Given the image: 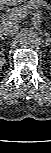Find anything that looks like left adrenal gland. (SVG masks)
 <instances>
[{
    "label": "left adrenal gland",
    "instance_id": "1",
    "mask_svg": "<svg viewBox=\"0 0 51 153\" xmlns=\"http://www.w3.org/2000/svg\"><path fill=\"white\" fill-rule=\"evenodd\" d=\"M46 37H47V42H50V34L46 33ZM48 44V43H47Z\"/></svg>",
    "mask_w": 51,
    "mask_h": 153
}]
</instances>
